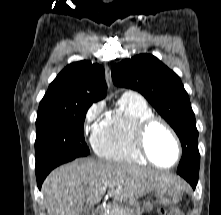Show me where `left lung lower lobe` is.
<instances>
[{"mask_svg":"<svg viewBox=\"0 0 221 215\" xmlns=\"http://www.w3.org/2000/svg\"><path fill=\"white\" fill-rule=\"evenodd\" d=\"M180 176L186 179L189 182L193 189H195L197 182H198V173H191V172H177Z\"/></svg>","mask_w":221,"mask_h":215,"instance_id":"obj_1","label":"left lung lower lobe"}]
</instances>
